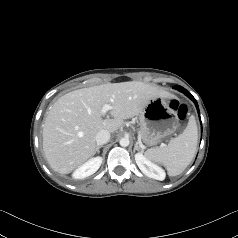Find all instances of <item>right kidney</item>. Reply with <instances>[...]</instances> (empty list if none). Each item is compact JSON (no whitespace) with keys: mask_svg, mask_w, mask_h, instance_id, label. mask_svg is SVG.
I'll return each instance as SVG.
<instances>
[{"mask_svg":"<svg viewBox=\"0 0 238 238\" xmlns=\"http://www.w3.org/2000/svg\"><path fill=\"white\" fill-rule=\"evenodd\" d=\"M102 164L101 157H95L88 160L86 163L81 165L76 171L73 173L74 179H83L95 173Z\"/></svg>","mask_w":238,"mask_h":238,"instance_id":"obj_1","label":"right kidney"}]
</instances>
